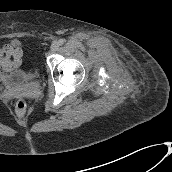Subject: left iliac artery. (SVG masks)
Returning a JSON list of instances; mask_svg holds the SVG:
<instances>
[{"mask_svg": "<svg viewBox=\"0 0 172 172\" xmlns=\"http://www.w3.org/2000/svg\"><path fill=\"white\" fill-rule=\"evenodd\" d=\"M58 42H59L60 45H63L65 43V39H59Z\"/></svg>", "mask_w": 172, "mask_h": 172, "instance_id": "1", "label": "left iliac artery"}]
</instances>
